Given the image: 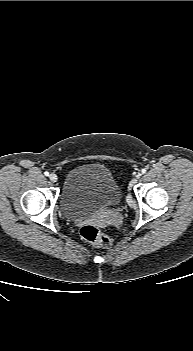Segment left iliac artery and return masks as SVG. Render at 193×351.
Segmentation results:
<instances>
[{"label":"left iliac artery","mask_w":193,"mask_h":351,"mask_svg":"<svg viewBox=\"0 0 193 351\" xmlns=\"http://www.w3.org/2000/svg\"><path fill=\"white\" fill-rule=\"evenodd\" d=\"M147 172V170L145 169V168H143L142 170H141V173L142 174H145Z\"/></svg>","instance_id":"obj_1"}]
</instances>
